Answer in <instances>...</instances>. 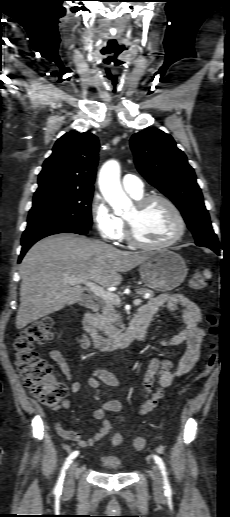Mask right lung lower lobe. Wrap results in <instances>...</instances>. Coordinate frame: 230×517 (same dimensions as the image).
Here are the masks:
<instances>
[{"label":"right lung lower lobe","mask_w":230,"mask_h":517,"mask_svg":"<svg viewBox=\"0 0 230 517\" xmlns=\"http://www.w3.org/2000/svg\"><path fill=\"white\" fill-rule=\"evenodd\" d=\"M87 232L88 229L84 227L74 226L66 223L44 224L27 228L21 238L22 250L18 262L22 260L25 253L34 243L46 236L58 233H76L85 235Z\"/></svg>","instance_id":"98d812e1"}]
</instances>
